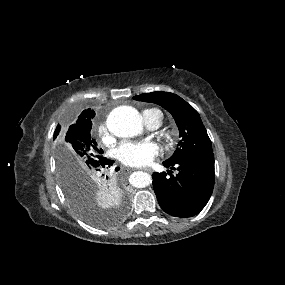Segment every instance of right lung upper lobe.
Listing matches in <instances>:
<instances>
[{
  "instance_id": "right-lung-upper-lobe-1",
  "label": "right lung upper lobe",
  "mask_w": 285,
  "mask_h": 285,
  "mask_svg": "<svg viewBox=\"0 0 285 285\" xmlns=\"http://www.w3.org/2000/svg\"><path fill=\"white\" fill-rule=\"evenodd\" d=\"M95 116V112L91 109L84 110L81 115L78 117V120L75 124L71 125L72 127H78L91 123V119Z\"/></svg>"
}]
</instances>
